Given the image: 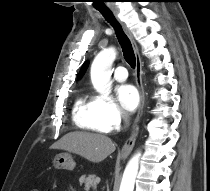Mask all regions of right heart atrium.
I'll return each instance as SVG.
<instances>
[{"label": "right heart atrium", "mask_w": 210, "mask_h": 191, "mask_svg": "<svg viewBox=\"0 0 210 191\" xmlns=\"http://www.w3.org/2000/svg\"><path fill=\"white\" fill-rule=\"evenodd\" d=\"M95 102L101 119L110 129H117L125 121L126 116L119 105L106 97H96Z\"/></svg>", "instance_id": "1"}]
</instances>
